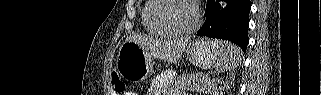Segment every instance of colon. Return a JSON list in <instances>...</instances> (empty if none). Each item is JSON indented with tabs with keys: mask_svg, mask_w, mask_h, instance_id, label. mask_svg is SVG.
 Instances as JSON below:
<instances>
[{
	"mask_svg": "<svg viewBox=\"0 0 321 95\" xmlns=\"http://www.w3.org/2000/svg\"><path fill=\"white\" fill-rule=\"evenodd\" d=\"M111 81H112V85H113L116 92L123 93L125 91V89H126L125 83L120 78L118 73H116V72L112 73Z\"/></svg>",
	"mask_w": 321,
	"mask_h": 95,
	"instance_id": "colon-1",
	"label": "colon"
}]
</instances>
